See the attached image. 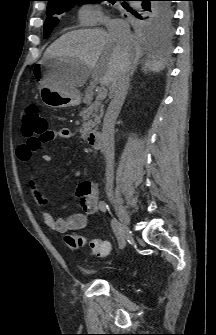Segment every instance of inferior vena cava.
I'll return each instance as SVG.
<instances>
[{"mask_svg":"<svg viewBox=\"0 0 216 335\" xmlns=\"http://www.w3.org/2000/svg\"><path fill=\"white\" fill-rule=\"evenodd\" d=\"M106 27L110 37L122 45L131 40L130 26L123 19H108ZM133 72L132 62L123 57L113 86V98L106 111L102 128V148L106 160V188L112 189L114 182V127L124 103L129 79Z\"/></svg>","mask_w":216,"mask_h":335,"instance_id":"1","label":"inferior vena cava"}]
</instances>
